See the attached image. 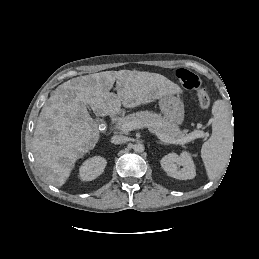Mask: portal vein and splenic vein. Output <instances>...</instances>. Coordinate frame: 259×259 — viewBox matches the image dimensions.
<instances>
[{
	"label": "portal vein and splenic vein",
	"instance_id": "1",
	"mask_svg": "<svg viewBox=\"0 0 259 259\" xmlns=\"http://www.w3.org/2000/svg\"><path fill=\"white\" fill-rule=\"evenodd\" d=\"M139 128H141V126L139 125V123H136V122H128V123H125L122 126L123 132H129L133 129H139ZM150 131L152 133H154L160 140H162L166 143H170V144H185V143H188L195 138L207 136V133H204L203 131H200V132H196V133H190L189 135H187L186 137H184L182 139L174 140V139L160 133L156 129H150Z\"/></svg>",
	"mask_w": 259,
	"mask_h": 259
}]
</instances>
